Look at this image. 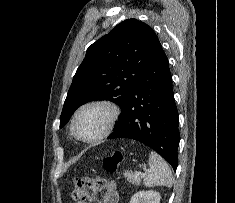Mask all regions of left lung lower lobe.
Segmentation results:
<instances>
[{"label": "left lung lower lobe", "mask_w": 235, "mask_h": 203, "mask_svg": "<svg viewBox=\"0 0 235 203\" xmlns=\"http://www.w3.org/2000/svg\"><path fill=\"white\" fill-rule=\"evenodd\" d=\"M108 136L140 141L159 153L174 170L178 162V111L168 59L161 47L145 68L131 98Z\"/></svg>", "instance_id": "left-lung-lower-lobe-1"}]
</instances>
